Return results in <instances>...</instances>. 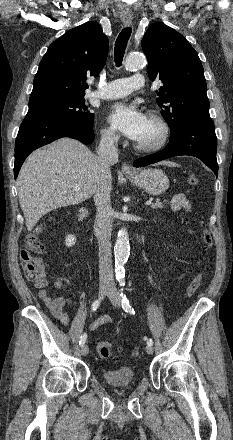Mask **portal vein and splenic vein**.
Wrapping results in <instances>:
<instances>
[{"instance_id":"18ae733b","label":"portal vein and splenic vein","mask_w":233,"mask_h":440,"mask_svg":"<svg viewBox=\"0 0 233 440\" xmlns=\"http://www.w3.org/2000/svg\"><path fill=\"white\" fill-rule=\"evenodd\" d=\"M73 188H74L75 190H80V189H81V187L78 186V185H73ZM151 204H152V201H147V202L145 203V205H151Z\"/></svg>"}]
</instances>
